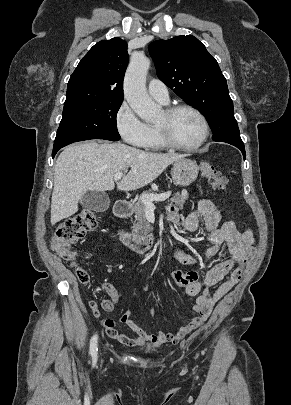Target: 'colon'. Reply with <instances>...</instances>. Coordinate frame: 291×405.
Here are the masks:
<instances>
[{
	"instance_id": "obj_1",
	"label": "colon",
	"mask_w": 291,
	"mask_h": 405,
	"mask_svg": "<svg viewBox=\"0 0 291 405\" xmlns=\"http://www.w3.org/2000/svg\"><path fill=\"white\" fill-rule=\"evenodd\" d=\"M199 168L201 175L208 179L213 189L222 191L226 188V177L217 171L211 163L202 161ZM96 226L97 218L94 211L84 209L62 222L57 227L50 243L53 251L76 267V277L82 284H89L91 282V275L86 268L78 264L76 253L71 249V245ZM160 276L168 277L181 287H186L198 281V274L195 271L172 270L161 272Z\"/></svg>"
}]
</instances>
